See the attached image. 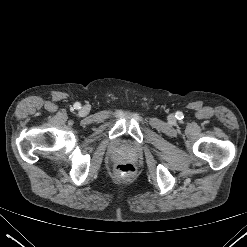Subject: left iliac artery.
<instances>
[{
  "label": "left iliac artery",
  "mask_w": 247,
  "mask_h": 247,
  "mask_svg": "<svg viewBox=\"0 0 247 247\" xmlns=\"http://www.w3.org/2000/svg\"><path fill=\"white\" fill-rule=\"evenodd\" d=\"M177 115H178V118H183V116H182V113L181 112H178L177 113ZM177 117V116H176Z\"/></svg>",
  "instance_id": "1"
}]
</instances>
